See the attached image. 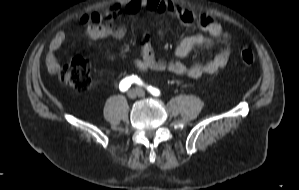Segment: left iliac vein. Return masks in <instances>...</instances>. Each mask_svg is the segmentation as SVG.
I'll return each instance as SVG.
<instances>
[{
    "instance_id": "obj_1",
    "label": "left iliac vein",
    "mask_w": 299,
    "mask_h": 190,
    "mask_svg": "<svg viewBox=\"0 0 299 190\" xmlns=\"http://www.w3.org/2000/svg\"><path fill=\"white\" fill-rule=\"evenodd\" d=\"M138 90H139V95L144 96V92L141 89H138Z\"/></svg>"
}]
</instances>
